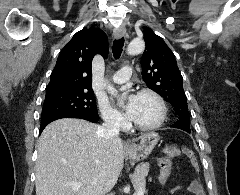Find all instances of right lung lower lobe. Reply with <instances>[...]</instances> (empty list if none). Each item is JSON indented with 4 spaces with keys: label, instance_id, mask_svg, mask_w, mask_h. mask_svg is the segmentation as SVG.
Listing matches in <instances>:
<instances>
[{
    "label": "right lung lower lobe",
    "instance_id": "right-lung-lower-lobe-1",
    "mask_svg": "<svg viewBox=\"0 0 240 195\" xmlns=\"http://www.w3.org/2000/svg\"><path fill=\"white\" fill-rule=\"evenodd\" d=\"M61 118H80V119L88 120L90 122H97L99 120V116L93 115V114H72V115L57 116L54 118H50V119L41 121L40 134L43 131V129L45 128V126H47L52 121L61 119Z\"/></svg>",
    "mask_w": 240,
    "mask_h": 195
}]
</instances>
